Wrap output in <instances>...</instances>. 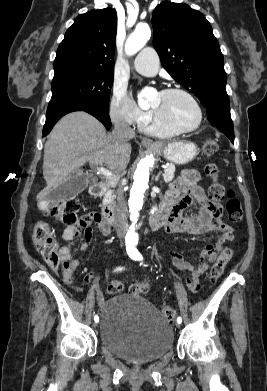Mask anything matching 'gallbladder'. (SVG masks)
Masks as SVG:
<instances>
[{
  "label": "gallbladder",
  "instance_id": "bac80fb5",
  "mask_svg": "<svg viewBox=\"0 0 267 391\" xmlns=\"http://www.w3.org/2000/svg\"><path fill=\"white\" fill-rule=\"evenodd\" d=\"M88 185L84 175H72L66 182L61 183L48 197L54 202L69 201L78 196Z\"/></svg>",
  "mask_w": 267,
  "mask_h": 391
}]
</instances>
